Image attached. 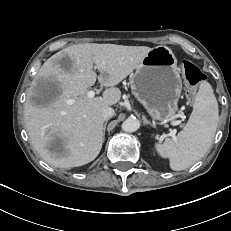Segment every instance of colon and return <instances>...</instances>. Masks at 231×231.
<instances>
[{
	"label": "colon",
	"mask_w": 231,
	"mask_h": 231,
	"mask_svg": "<svg viewBox=\"0 0 231 231\" xmlns=\"http://www.w3.org/2000/svg\"><path fill=\"white\" fill-rule=\"evenodd\" d=\"M181 71L185 81L190 87L187 91V95L189 96L193 93L192 89L204 80V75L197 66L187 60L181 62Z\"/></svg>",
	"instance_id": "obj_1"
}]
</instances>
